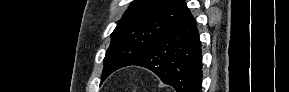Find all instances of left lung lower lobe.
I'll return each instance as SVG.
<instances>
[{
  "mask_svg": "<svg viewBox=\"0 0 289 92\" xmlns=\"http://www.w3.org/2000/svg\"><path fill=\"white\" fill-rule=\"evenodd\" d=\"M202 55L196 21L189 9L125 66L153 71L176 92H201Z\"/></svg>",
  "mask_w": 289,
  "mask_h": 92,
  "instance_id": "0a47b994",
  "label": "left lung lower lobe"
}]
</instances>
